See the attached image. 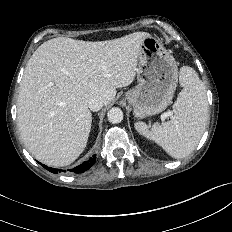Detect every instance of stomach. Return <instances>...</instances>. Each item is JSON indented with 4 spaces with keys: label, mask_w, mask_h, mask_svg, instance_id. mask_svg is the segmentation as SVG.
Returning <instances> with one entry per match:
<instances>
[{
    "label": "stomach",
    "mask_w": 232,
    "mask_h": 232,
    "mask_svg": "<svg viewBox=\"0 0 232 232\" xmlns=\"http://www.w3.org/2000/svg\"><path fill=\"white\" fill-rule=\"evenodd\" d=\"M136 73L138 84L125 94L134 116L145 118L165 110L177 87L178 66L156 37L149 36L142 42Z\"/></svg>",
    "instance_id": "0dacf381"
}]
</instances>
